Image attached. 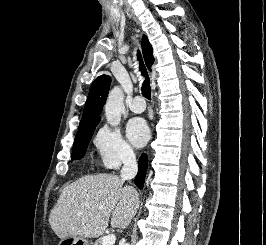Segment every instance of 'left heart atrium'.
I'll list each match as a JSON object with an SVG mask.
<instances>
[{
    "instance_id": "left-heart-atrium-1",
    "label": "left heart atrium",
    "mask_w": 266,
    "mask_h": 245,
    "mask_svg": "<svg viewBox=\"0 0 266 245\" xmlns=\"http://www.w3.org/2000/svg\"><path fill=\"white\" fill-rule=\"evenodd\" d=\"M126 136L135 147H141L149 138V129L141 118H133L126 125Z\"/></svg>"
}]
</instances>
